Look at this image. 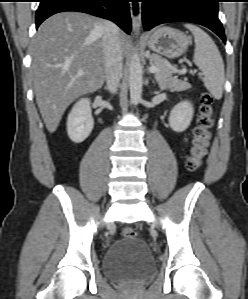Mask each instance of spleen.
I'll list each match as a JSON object with an SVG mask.
<instances>
[{
	"label": "spleen",
	"instance_id": "spleen-1",
	"mask_svg": "<svg viewBox=\"0 0 248 299\" xmlns=\"http://www.w3.org/2000/svg\"><path fill=\"white\" fill-rule=\"evenodd\" d=\"M194 36V62L202 71L204 85L216 99H221L224 85V63L212 38L193 24H185Z\"/></svg>",
	"mask_w": 248,
	"mask_h": 299
}]
</instances>
